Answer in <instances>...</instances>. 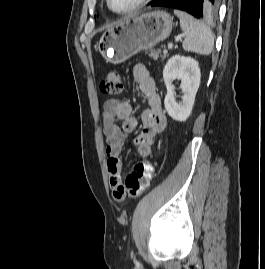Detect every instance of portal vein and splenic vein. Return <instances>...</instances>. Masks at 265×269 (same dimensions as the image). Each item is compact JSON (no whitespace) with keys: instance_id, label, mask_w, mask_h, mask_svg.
<instances>
[{"instance_id":"portal-vein-and-splenic-vein-1","label":"portal vein and splenic vein","mask_w":265,"mask_h":269,"mask_svg":"<svg viewBox=\"0 0 265 269\" xmlns=\"http://www.w3.org/2000/svg\"><path fill=\"white\" fill-rule=\"evenodd\" d=\"M184 36H185L184 34L180 35V39H181V37H184ZM173 46H174V44H173V43H169V44H168V49L173 48ZM163 52H164V53H167V50H166V49H164V50H163Z\"/></svg>"}]
</instances>
